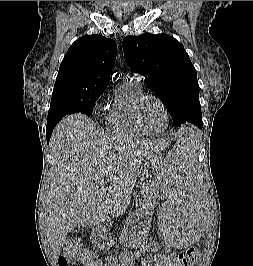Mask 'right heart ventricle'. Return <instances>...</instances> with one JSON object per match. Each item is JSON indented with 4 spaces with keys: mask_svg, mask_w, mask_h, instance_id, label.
<instances>
[{
    "mask_svg": "<svg viewBox=\"0 0 253 266\" xmlns=\"http://www.w3.org/2000/svg\"><path fill=\"white\" fill-rule=\"evenodd\" d=\"M143 94L139 81L126 78L115 91L107 115V127L117 136L137 138L144 134L136 127L132 117V106L137 97Z\"/></svg>",
    "mask_w": 253,
    "mask_h": 266,
    "instance_id": "right-heart-ventricle-1",
    "label": "right heart ventricle"
}]
</instances>
